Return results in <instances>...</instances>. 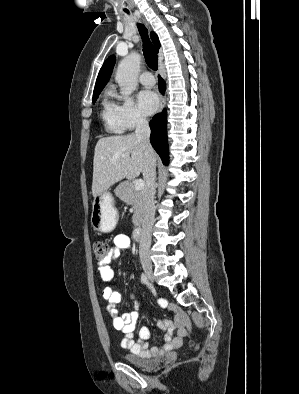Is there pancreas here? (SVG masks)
I'll list each match as a JSON object with an SVG mask.
<instances>
[{
  "instance_id": "cf45deb5",
  "label": "pancreas",
  "mask_w": 299,
  "mask_h": 394,
  "mask_svg": "<svg viewBox=\"0 0 299 394\" xmlns=\"http://www.w3.org/2000/svg\"><path fill=\"white\" fill-rule=\"evenodd\" d=\"M116 194L126 204L132 205L134 209L132 222L135 226H138L143 213L144 192L135 191L134 184L131 181H124L117 187Z\"/></svg>"
}]
</instances>
